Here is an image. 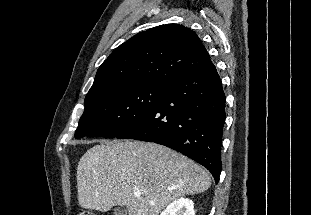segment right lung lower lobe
Instances as JSON below:
<instances>
[{
	"label": "right lung lower lobe",
	"mask_w": 311,
	"mask_h": 215,
	"mask_svg": "<svg viewBox=\"0 0 311 215\" xmlns=\"http://www.w3.org/2000/svg\"><path fill=\"white\" fill-rule=\"evenodd\" d=\"M222 82L213 63L165 84L161 102L116 138L155 142L206 167L219 181L225 123Z\"/></svg>",
	"instance_id": "right-lung-lower-lobe-1"
}]
</instances>
